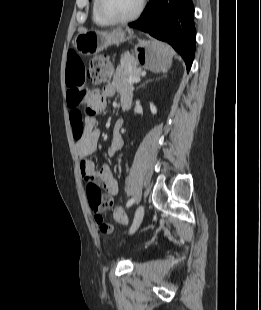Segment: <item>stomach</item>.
I'll return each mask as SVG.
<instances>
[{
  "mask_svg": "<svg viewBox=\"0 0 261 310\" xmlns=\"http://www.w3.org/2000/svg\"><path fill=\"white\" fill-rule=\"evenodd\" d=\"M127 39L125 31L114 30L111 33L85 31L75 37L74 45L83 55H93L111 45H119ZM172 50L158 41L140 40L135 46L136 61L142 67L153 72H166L172 63Z\"/></svg>",
  "mask_w": 261,
  "mask_h": 310,
  "instance_id": "stomach-1",
  "label": "stomach"
}]
</instances>
